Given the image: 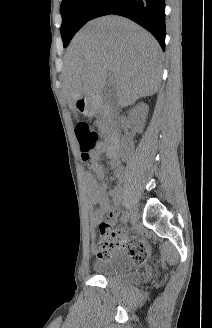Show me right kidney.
<instances>
[{
  "instance_id": "obj_1",
  "label": "right kidney",
  "mask_w": 212,
  "mask_h": 328,
  "mask_svg": "<svg viewBox=\"0 0 212 328\" xmlns=\"http://www.w3.org/2000/svg\"><path fill=\"white\" fill-rule=\"evenodd\" d=\"M148 105L141 102L136 105L129 114L131 123L134 125L135 129L142 132L144 124L146 122V116L148 114Z\"/></svg>"
}]
</instances>
